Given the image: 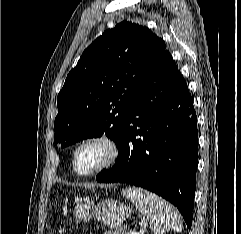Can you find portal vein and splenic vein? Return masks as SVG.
Segmentation results:
<instances>
[{
    "mask_svg": "<svg viewBox=\"0 0 241 234\" xmlns=\"http://www.w3.org/2000/svg\"><path fill=\"white\" fill-rule=\"evenodd\" d=\"M130 234H140L139 232H132V233H130Z\"/></svg>",
    "mask_w": 241,
    "mask_h": 234,
    "instance_id": "obj_1",
    "label": "portal vein and splenic vein"
}]
</instances>
